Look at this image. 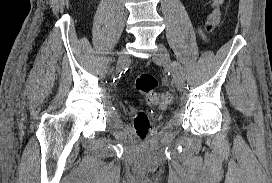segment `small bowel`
<instances>
[{
  "mask_svg": "<svg viewBox=\"0 0 272 183\" xmlns=\"http://www.w3.org/2000/svg\"><path fill=\"white\" fill-rule=\"evenodd\" d=\"M224 0H212L211 11L208 14L207 22L204 27L199 28L200 35L206 39V32L211 31L219 22L220 18V5Z\"/></svg>",
  "mask_w": 272,
  "mask_h": 183,
  "instance_id": "1",
  "label": "small bowel"
}]
</instances>
